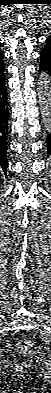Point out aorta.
<instances>
[{"label":"aorta","mask_w":51,"mask_h":393,"mask_svg":"<svg viewBox=\"0 0 51 393\" xmlns=\"http://www.w3.org/2000/svg\"><path fill=\"white\" fill-rule=\"evenodd\" d=\"M38 102L42 115V122L47 130L51 128V82L50 77L42 72L38 78Z\"/></svg>","instance_id":"1"}]
</instances>
